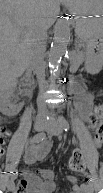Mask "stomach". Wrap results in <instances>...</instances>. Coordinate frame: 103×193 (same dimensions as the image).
<instances>
[{
  "label": "stomach",
  "instance_id": "obj_1",
  "mask_svg": "<svg viewBox=\"0 0 103 193\" xmlns=\"http://www.w3.org/2000/svg\"><path fill=\"white\" fill-rule=\"evenodd\" d=\"M72 10L71 12L76 16L93 17L91 20L100 19L103 12V0H71ZM91 20H87L89 23ZM91 28H82L78 26V34L84 35ZM87 42H92L91 36H82ZM89 49V48H88Z\"/></svg>",
  "mask_w": 103,
  "mask_h": 193
}]
</instances>
